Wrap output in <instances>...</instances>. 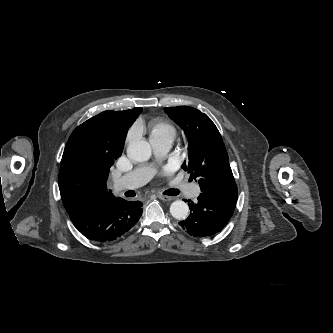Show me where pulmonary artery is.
Listing matches in <instances>:
<instances>
[{
    "instance_id": "e3ab8cb5",
    "label": "pulmonary artery",
    "mask_w": 333,
    "mask_h": 333,
    "mask_svg": "<svg viewBox=\"0 0 333 333\" xmlns=\"http://www.w3.org/2000/svg\"><path fill=\"white\" fill-rule=\"evenodd\" d=\"M154 155L157 159L164 157L172 147L173 138L171 137H155L150 139ZM154 174L152 164L140 166L124 176L116 179L113 187L117 192L138 188L147 183ZM181 189L193 190L196 194L199 193L198 186H188L180 184Z\"/></svg>"
}]
</instances>
